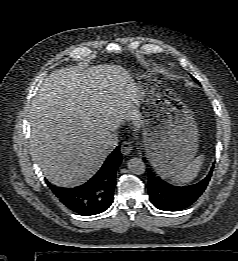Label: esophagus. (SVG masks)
I'll list each match as a JSON object with an SVG mask.
<instances>
[{"mask_svg": "<svg viewBox=\"0 0 238 261\" xmlns=\"http://www.w3.org/2000/svg\"><path fill=\"white\" fill-rule=\"evenodd\" d=\"M133 150V146L130 142H123L121 145V153L123 155H129Z\"/></svg>", "mask_w": 238, "mask_h": 261, "instance_id": "34e87169", "label": "esophagus"}]
</instances>
